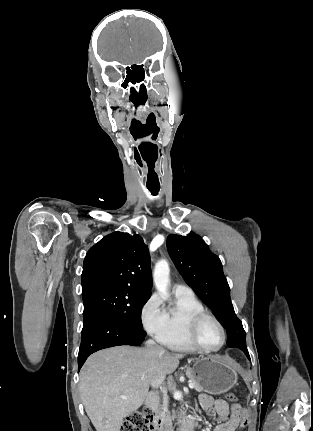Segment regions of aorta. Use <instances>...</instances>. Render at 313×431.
<instances>
[{
	"label": "aorta",
	"instance_id": "aorta-1",
	"mask_svg": "<svg viewBox=\"0 0 313 431\" xmlns=\"http://www.w3.org/2000/svg\"><path fill=\"white\" fill-rule=\"evenodd\" d=\"M153 281L157 291L160 294H165L170 282V268L166 260L161 259L156 263L153 273Z\"/></svg>",
	"mask_w": 313,
	"mask_h": 431
}]
</instances>
